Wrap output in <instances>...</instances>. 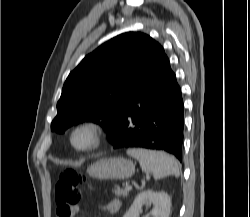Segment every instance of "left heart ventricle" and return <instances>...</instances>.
I'll use <instances>...</instances> for the list:
<instances>
[{"mask_svg": "<svg viewBox=\"0 0 250 217\" xmlns=\"http://www.w3.org/2000/svg\"><path fill=\"white\" fill-rule=\"evenodd\" d=\"M86 141H87V137H86V135H84V134H80V135H78V136L76 137V143H77L78 145H83V144L86 143Z\"/></svg>", "mask_w": 250, "mask_h": 217, "instance_id": "left-heart-ventricle-1", "label": "left heart ventricle"}]
</instances>
